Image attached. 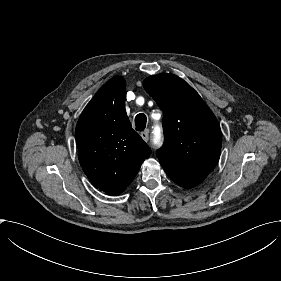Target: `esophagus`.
<instances>
[{"instance_id": "1", "label": "esophagus", "mask_w": 281, "mask_h": 281, "mask_svg": "<svg viewBox=\"0 0 281 281\" xmlns=\"http://www.w3.org/2000/svg\"><path fill=\"white\" fill-rule=\"evenodd\" d=\"M141 137L143 138V140L145 142H147L149 140V134H148V131H143L141 132Z\"/></svg>"}]
</instances>
